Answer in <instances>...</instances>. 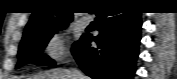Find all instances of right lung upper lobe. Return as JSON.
Instances as JSON below:
<instances>
[{
	"mask_svg": "<svg viewBox=\"0 0 177 79\" xmlns=\"http://www.w3.org/2000/svg\"><path fill=\"white\" fill-rule=\"evenodd\" d=\"M60 5L41 1L36 5L30 21L25 27L23 38L28 37L39 30L67 25L73 19V13L67 9L61 10ZM53 9L59 12H53Z\"/></svg>",
	"mask_w": 177,
	"mask_h": 79,
	"instance_id": "cb5924a9",
	"label": "right lung upper lobe"
}]
</instances>
